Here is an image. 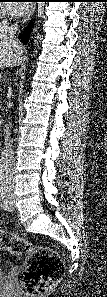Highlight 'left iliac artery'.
<instances>
[{
	"mask_svg": "<svg viewBox=\"0 0 107 297\" xmlns=\"http://www.w3.org/2000/svg\"><path fill=\"white\" fill-rule=\"evenodd\" d=\"M0 193H1V199H2V204H1V206H3V207H5V205H6V198H5V192H3V191H0Z\"/></svg>",
	"mask_w": 107,
	"mask_h": 297,
	"instance_id": "obj_1",
	"label": "left iliac artery"
}]
</instances>
